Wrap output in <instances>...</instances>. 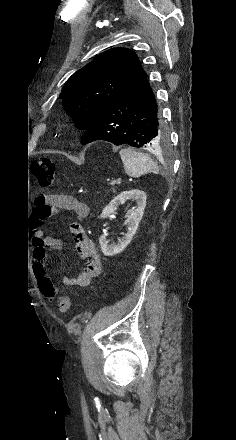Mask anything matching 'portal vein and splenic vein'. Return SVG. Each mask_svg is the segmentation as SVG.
<instances>
[{
    "label": "portal vein and splenic vein",
    "instance_id": "obj_1",
    "mask_svg": "<svg viewBox=\"0 0 236 440\" xmlns=\"http://www.w3.org/2000/svg\"><path fill=\"white\" fill-rule=\"evenodd\" d=\"M117 182H118V180H112L111 183H110V185L113 186V185H115Z\"/></svg>",
    "mask_w": 236,
    "mask_h": 440
}]
</instances>
